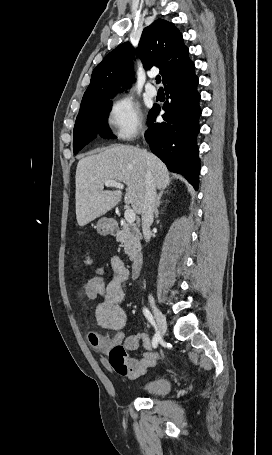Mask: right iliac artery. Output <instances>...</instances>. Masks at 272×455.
I'll list each match as a JSON object with an SVG mask.
<instances>
[{
	"label": "right iliac artery",
	"instance_id": "82829eb1",
	"mask_svg": "<svg viewBox=\"0 0 272 455\" xmlns=\"http://www.w3.org/2000/svg\"><path fill=\"white\" fill-rule=\"evenodd\" d=\"M143 313H144L145 317L148 319V321L152 324V326H154V328L156 330V333H155V335H154V337L152 339V346L154 348H156L158 346L159 341L161 340L160 333L157 330V326L155 324V321H154L153 316L150 313V311L147 308H144L143 309Z\"/></svg>",
	"mask_w": 272,
	"mask_h": 455
}]
</instances>
